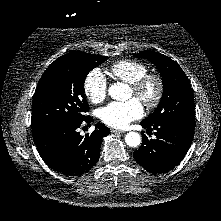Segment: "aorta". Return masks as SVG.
Masks as SVG:
<instances>
[{"label":"aorta","mask_w":221,"mask_h":221,"mask_svg":"<svg viewBox=\"0 0 221 221\" xmlns=\"http://www.w3.org/2000/svg\"><path fill=\"white\" fill-rule=\"evenodd\" d=\"M108 93L114 100H125L128 95V86L124 83H116L109 87ZM125 142L129 147H138L141 136L137 132H129L125 136Z\"/></svg>","instance_id":"762f6f07"}]
</instances>
